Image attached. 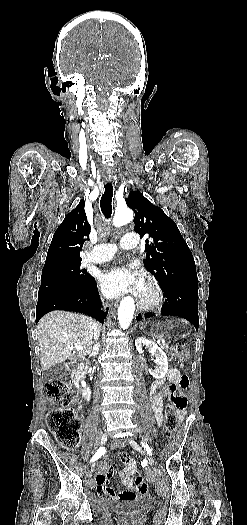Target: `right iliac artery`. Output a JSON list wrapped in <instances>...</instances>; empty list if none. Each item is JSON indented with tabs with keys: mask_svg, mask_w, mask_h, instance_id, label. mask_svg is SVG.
Wrapping results in <instances>:
<instances>
[{
	"mask_svg": "<svg viewBox=\"0 0 247 525\" xmlns=\"http://www.w3.org/2000/svg\"><path fill=\"white\" fill-rule=\"evenodd\" d=\"M106 452L104 447H101L98 449V451L94 454V456L91 458V462L96 461L98 458H100L102 455H104Z\"/></svg>",
	"mask_w": 247,
	"mask_h": 525,
	"instance_id": "1",
	"label": "right iliac artery"
}]
</instances>
